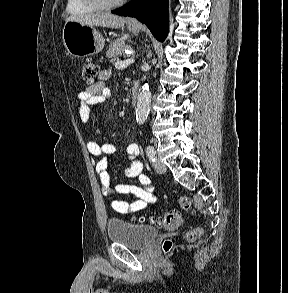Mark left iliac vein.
Returning a JSON list of instances; mask_svg holds the SVG:
<instances>
[{
  "mask_svg": "<svg viewBox=\"0 0 288 293\" xmlns=\"http://www.w3.org/2000/svg\"><path fill=\"white\" fill-rule=\"evenodd\" d=\"M153 166L158 174H164L167 170L165 164L159 159H155V161L153 162Z\"/></svg>",
  "mask_w": 288,
  "mask_h": 293,
  "instance_id": "left-iliac-vein-1",
  "label": "left iliac vein"
}]
</instances>
